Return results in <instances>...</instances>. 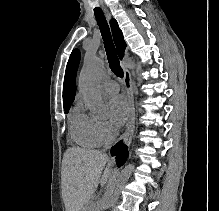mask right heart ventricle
I'll list each match as a JSON object with an SVG mask.
<instances>
[{
  "mask_svg": "<svg viewBox=\"0 0 219 211\" xmlns=\"http://www.w3.org/2000/svg\"><path fill=\"white\" fill-rule=\"evenodd\" d=\"M96 123L95 117L87 115L80 108H75L70 119V133L73 139L86 147L100 145Z\"/></svg>",
  "mask_w": 219,
  "mask_h": 211,
  "instance_id": "right-heart-ventricle-1",
  "label": "right heart ventricle"
}]
</instances>
